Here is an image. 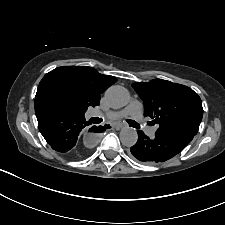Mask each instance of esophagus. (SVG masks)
I'll return each mask as SVG.
<instances>
[{
    "mask_svg": "<svg viewBox=\"0 0 225 225\" xmlns=\"http://www.w3.org/2000/svg\"><path fill=\"white\" fill-rule=\"evenodd\" d=\"M113 128L115 129H121L123 127L122 124H115V125H112Z\"/></svg>",
    "mask_w": 225,
    "mask_h": 225,
    "instance_id": "34e87169",
    "label": "esophagus"
}]
</instances>
